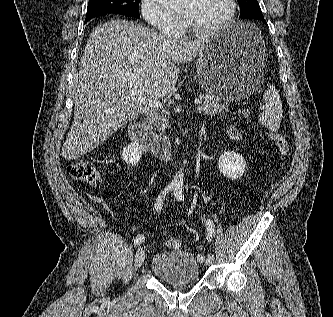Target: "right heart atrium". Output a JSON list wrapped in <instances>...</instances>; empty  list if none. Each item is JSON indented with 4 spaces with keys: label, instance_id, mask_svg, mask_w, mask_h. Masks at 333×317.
Returning a JSON list of instances; mask_svg holds the SVG:
<instances>
[{
    "label": "right heart atrium",
    "instance_id": "d8ad5b80",
    "mask_svg": "<svg viewBox=\"0 0 333 317\" xmlns=\"http://www.w3.org/2000/svg\"><path fill=\"white\" fill-rule=\"evenodd\" d=\"M139 6L143 19L156 30L167 35H177L181 31V21L164 9L159 0H141Z\"/></svg>",
    "mask_w": 333,
    "mask_h": 317
}]
</instances>
